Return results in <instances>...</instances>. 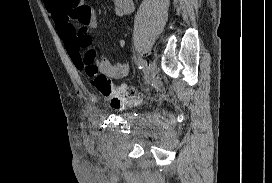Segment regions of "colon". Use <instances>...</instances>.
<instances>
[{
	"mask_svg": "<svg viewBox=\"0 0 272 183\" xmlns=\"http://www.w3.org/2000/svg\"><path fill=\"white\" fill-rule=\"evenodd\" d=\"M81 65L82 70L89 76L92 85L108 100L111 107L121 109L133 107L140 103L141 96L136 95L124 86L114 85L106 75L99 71L95 62V53L91 46L84 51Z\"/></svg>",
	"mask_w": 272,
	"mask_h": 183,
	"instance_id": "colon-1",
	"label": "colon"
}]
</instances>
